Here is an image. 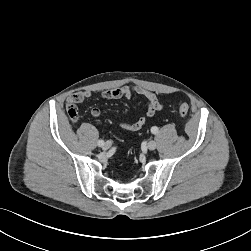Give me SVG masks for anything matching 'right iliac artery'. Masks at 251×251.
<instances>
[{
    "label": "right iliac artery",
    "mask_w": 251,
    "mask_h": 251,
    "mask_svg": "<svg viewBox=\"0 0 251 251\" xmlns=\"http://www.w3.org/2000/svg\"><path fill=\"white\" fill-rule=\"evenodd\" d=\"M97 144H98V146H100V147H101V146H103V145H104V141H103V140H99Z\"/></svg>",
    "instance_id": "82829eb1"
}]
</instances>
